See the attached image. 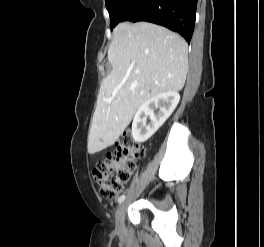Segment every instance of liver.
<instances>
[{
    "mask_svg": "<svg viewBox=\"0 0 264 247\" xmlns=\"http://www.w3.org/2000/svg\"><path fill=\"white\" fill-rule=\"evenodd\" d=\"M108 60L112 71L98 96L88 137L90 154L113 145L148 99L182 90L188 72V45L164 27L123 22L113 31Z\"/></svg>",
    "mask_w": 264,
    "mask_h": 247,
    "instance_id": "6515ba94",
    "label": "liver"
}]
</instances>
